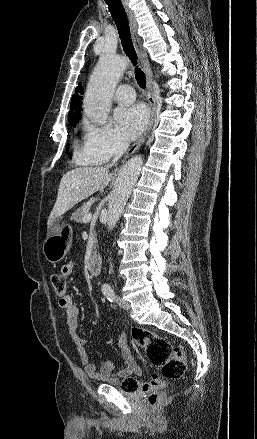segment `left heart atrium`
<instances>
[{
  "label": "left heart atrium",
  "instance_id": "left-heart-atrium-1",
  "mask_svg": "<svg viewBox=\"0 0 257 439\" xmlns=\"http://www.w3.org/2000/svg\"><path fill=\"white\" fill-rule=\"evenodd\" d=\"M115 119L124 136L134 138L145 128L148 121V110L142 104L119 108L115 112Z\"/></svg>",
  "mask_w": 257,
  "mask_h": 439
}]
</instances>
